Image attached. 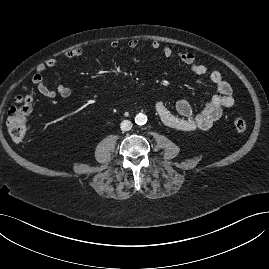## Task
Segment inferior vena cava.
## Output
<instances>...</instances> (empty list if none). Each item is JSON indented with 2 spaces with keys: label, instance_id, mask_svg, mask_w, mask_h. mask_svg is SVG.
<instances>
[{
  "label": "inferior vena cava",
  "instance_id": "1",
  "mask_svg": "<svg viewBox=\"0 0 269 269\" xmlns=\"http://www.w3.org/2000/svg\"><path fill=\"white\" fill-rule=\"evenodd\" d=\"M120 127L122 131H129L132 128V123L128 120H124L121 122Z\"/></svg>",
  "mask_w": 269,
  "mask_h": 269
}]
</instances>
